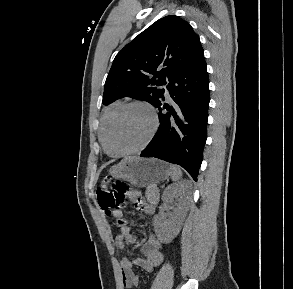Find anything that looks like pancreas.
Masks as SVG:
<instances>
[{
    "label": "pancreas",
    "instance_id": "pancreas-1",
    "mask_svg": "<svg viewBox=\"0 0 293 289\" xmlns=\"http://www.w3.org/2000/svg\"><path fill=\"white\" fill-rule=\"evenodd\" d=\"M145 196L150 203H157L159 200L158 188L155 185L148 186Z\"/></svg>",
    "mask_w": 293,
    "mask_h": 289
}]
</instances>
